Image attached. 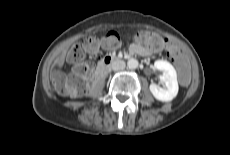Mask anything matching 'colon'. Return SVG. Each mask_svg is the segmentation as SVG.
<instances>
[{"label":"colon","mask_w":230,"mask_h":155,"mask_svg":"<svg viewBox=\"0 0 230 155\" xmlns=\"http://www.w3.org/2000/svg\"><path fill=\"white\" fill-rule=\"evenodd\" d=\"M135 39L146 46L165 47L168 56L178 66L181 85L188 87L191 84L192 68L190 56L187 53H182L180 48L171 44L165 38L150 32L138 33ZM120 45L121 37L115 31L106 33L100 42L94 37H88L81 43L73 45L67 52V60L74 64V77L69 81L61 71L54 69L52 72L54 89L61 94H69L74 88H83L85 79L92 72V65L85 61L86 56H97L100 46L107 50H115Z\"/></svg>","instance_id":"5ec220e1"}]
</instances>
